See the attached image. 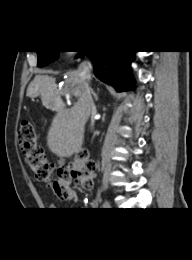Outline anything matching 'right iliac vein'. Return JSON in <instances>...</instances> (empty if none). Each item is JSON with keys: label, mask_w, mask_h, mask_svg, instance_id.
<instances>
[{"label": "right iliac vein", "mask_w": 192, "mask_h": 260, "mask_svg": "<svg viewBox=\"0 0 192 260\" xmlns=\"http://www.w3.org/2000/svg\"><path fill=\"white\" fill-rule=\"evenodd\" d=\"M104 207H105V208H110V204H109V202L105 201V203H104Z\"/></svg>", "instance_id": "obj_1"}]
</instances>
